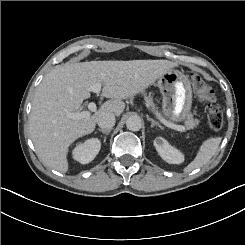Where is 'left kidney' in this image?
I'll use <instances>...</instances> for the list:
<instances>
[{"mask_svg":"<svg viewBox=\"0 0 245 245\" xmlns=\"http://www.w3.org/2000/svg\"><path fill=\"white\" fill-rule=\"evenodd\" d=\"M154 146L160 157L170 164H180L184 162V155L178 149L171 146L168 141L162 137L154 140Z\"/></svg>","mask_w":245,"mask_h":245,"instance_id":"left-kidney-1","label":"left kidney"}]
</instances>
